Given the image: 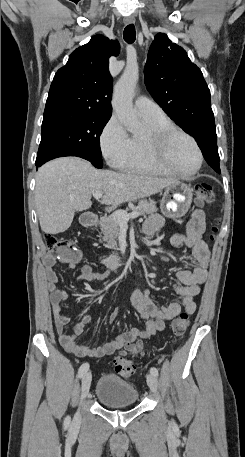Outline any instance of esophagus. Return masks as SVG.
Masks as SVG:
<instances>
[{
    "mask_svg": "<svg viewBox=\"0 0 245 457\" xmlns=\"http://www.w3.org/2000/svg\"><path fill=\"white\" fill-rule=\"evenodd\" d=\"M123 22L125 23V25L133 24L135 23V17L133 15H129L128 17H125L123 19Z\"/></svg>",
    "mask_w": 245,
    "mask_h": 457,
    "instance_id": "1",
    "label": "esophagus"
}]
</instances>
